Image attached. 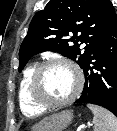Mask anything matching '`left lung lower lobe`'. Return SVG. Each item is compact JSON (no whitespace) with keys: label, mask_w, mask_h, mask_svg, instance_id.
I'll list each match as a JSON object with an SVG mask.
<instances>
[{"label":"left lung lower lobe","mask_w":117,"mask_h":131,"mask_svg":"<svg viewBox=\"0 0 117 131\" xmlns=\"http://www.w3.org/2000/svg\"><path fill=\"white\" fill-rule=\"evenodd\" d=\"M82 95L74 103L102 106L117 116V14L111 9L102 39L85 66Z\"/></svg>","instance_id":"0a47b994"}]
</instances>
